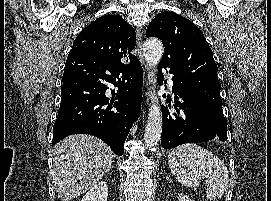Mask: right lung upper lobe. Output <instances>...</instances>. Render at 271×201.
<instances>
[{"mask_svg":"<svg viewBox=\"0 0 271 201\" xmlns=\"http://www.w3.org/2000/svg\"><path fill=\"white\" fill-rule=\"evenodd\" d=\"M135 45L133 27L118 15H105L81 31L68 56L82 54L109 62L132 63L137 60L130 53Z\"/></svg>","mask_w":271,"mask_h":201,"instance_id":"cb5924a9","label":"right lung upper lobe"}]
</instances>
